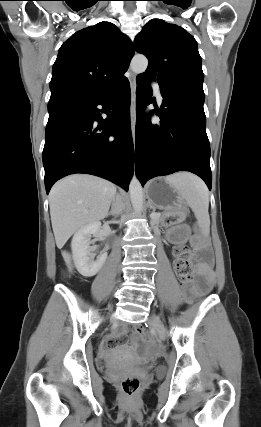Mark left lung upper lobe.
<instances>
[{
	"label": "left lung upper lobe",
	"instance_id": "left-lung-upper-lobe-1",
	"mask_svg": "<svg viewBox=\"0 0 261 427\" xmlns=\"http://www.w3.org/2000/svg\"><path fill=\"white\" fill-rule=\"evenodd\" d=\"M134 44L149 61L147 70L139 77L156 79L160 88L179 87L204 94L197 42L185 29L153 19L136 36Z\"/></svg>",
	"mask_w": 261,
	"mask_h": 427
}]
</instances>
